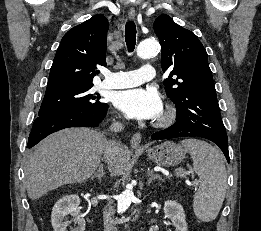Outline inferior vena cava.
Wrapping results in <instances>:
<instances>
[{"label":"inferior vena cava","instance_id":"inferior-vena-cava-1","mask_svg":"<svg viewBox=\"0 0 261 231\" xmlns=\"http://www.w3.org/2000/svg\"><path fill=\"white\" fill-rule=\"evenodd\" d=\"M122 124L115 122L111 125L110 130L114 132H118L122 130ZM120 147V143L116 141H108L106 143V147L104 150V158L108 162L111 158L115 157L118 149ZM103 220H104V231H114L115 227L113 224V220L111 217V213L108 210L103 212Z\"/></svg>","mask_w":261,"mask_h":231}]
</instances>
